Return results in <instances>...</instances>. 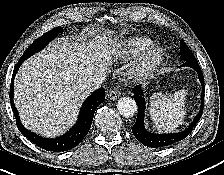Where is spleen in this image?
Segmentation results:
<instances>
[{"label": "spleen", "mask_w": 224, "mask_h": 175, "mask_svg": "<svg viewBox=\"0 0 224 175\" xmlns=\"http://www.w3.org/2000/svg\"><path fill=\"white\" fill-rule=\"evenodd\" d=\"M185 90H180L166 97L162 93H154L150 97V115L156 129L160 131H173L186 115Z\"/></svg>", "instance_id": "spleen-1"}]
</instances>
